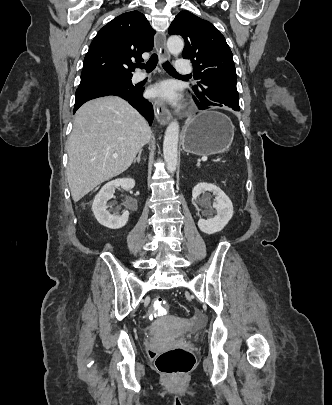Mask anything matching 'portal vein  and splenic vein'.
<instances>
[{"mask_svg": "<svg viewBox=\"0 0 332 405\" xmlns=\"http://www.w3.org/2000/svg\"><path fill=\"white\" fill-rule=\"evenodd\" d=\"M206 160H207V157H203V158H202V161H206ZM197 166H200V163H199V162H198Z\"/></svg>", "mask_w": 332, "mask_h": 405, "instance_id": "18ae733b", "label": "portal vein and splenic vein"}]
</instances>
